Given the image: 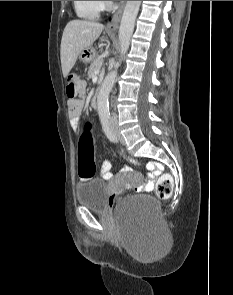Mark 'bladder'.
I'll use <instances>...</instances> for the list:
<instances>
[{
	"instance_id": "obj_1",
	"label": "bladder",
	"mask_w": 233,
	"mask_h": 295,
	"mask_svg": "<svg viewBox=\"0 0 233 295\" xmlns=\"http://www.w3.org/2000/svg\"><path fill=\"white\" fill-rule=\"evenodd\" d=\"M77 202L87 209L105 213L109 210L107 203L108 188L106 183L97 178L80 182L76 186ZM126 214H136L148 221L159 217L158 201L147 194L135 195L127 198L121 204Z\"/></svg>"
}]
</instances>
